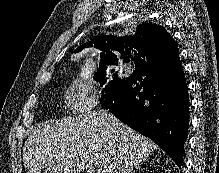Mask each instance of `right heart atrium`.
<instances>
[{
    "label": "right heart atrium",
    "mask_w": 219,
    "mask_h": 173,
    "mask_svg": "<svg viewBox=\"0 0 219 173\" xmlns=\"http://www.w3.org/2000/svg\"><path fill=\"white\" fill-rule=\"evenodd\" d=\"M101 94L90 84L73 81L66 91V102L76 114L92 112L100 103Z\"/></svg>",
    "instance_id": "d8ad5b80"
}]
</instances>
